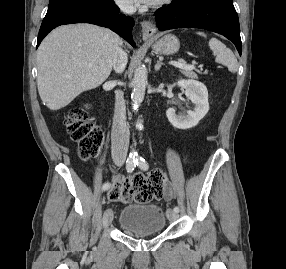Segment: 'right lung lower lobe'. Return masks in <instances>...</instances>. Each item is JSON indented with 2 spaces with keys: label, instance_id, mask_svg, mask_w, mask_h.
<instances>
[{
  "label": "right lung lower lobe",
  "instance_id": "1",
  "mask_svg": "<svg viewBox=\"0 0 286 269\" xmlns=\"http://www.w3.org/2000/svg\"><path fill=\"white\" fill-rule=\"evenodd\" d=\"M118 12L119 8L116 5L111 9H102L86 2L74 3L47 11L39 30L37 47L52 29L72 23H91L108 27L127 40L132 46H135L132 37L134 20L124 15H117Z\"/></svg>",
  "mask_w": 286,
  "mask_h": 269
}]
</instances>
